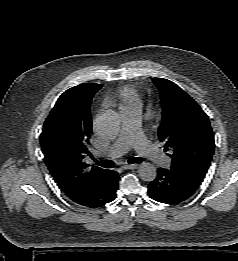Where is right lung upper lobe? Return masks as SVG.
I'll list each match as a JSON object with an SVG mask.
<instances>
[{"instance_id":"right-lung-upper-lobe-1","label":"right lung upper lobe","mask_w":238,"mask_h":261,"mask_svg":"<svg viewBox=\"0 0 238 261\" xmlns=\"http://www.w3.org/2000/svg\"><path fill=\"white\" fill-rule=\"evenodd\" d=\"M102 84L83 83L65 91L55 108L62 105L65 115L53 121L47 117L41 133L45 163L63 192L72 200L83 198L106 170H89L84 162L92 131L90 105Z\"/></svg>"}]
</instances>
